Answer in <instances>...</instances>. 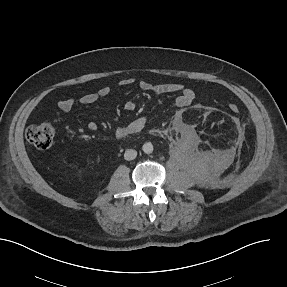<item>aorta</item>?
I'll return each mask as SVG.
<instances>
[{
    "mask_svg": "<svg viewBox=\"0 0 287 287\" xmlns=\"http://www.w3.org/2000/svg\"><path fill=\"white\" fill-rule=\"evenodd\" d=\"M142 150L146 154L152 153L153 152V145H152V143L151 142L144 143L143 146H142Z\"/></svg>",
    "mask_w": 287,
    "mask_h": 287,
    "instance_id": "1",
    "label": "aorta"
}]
</instances>
